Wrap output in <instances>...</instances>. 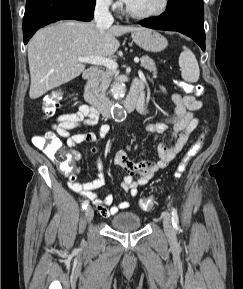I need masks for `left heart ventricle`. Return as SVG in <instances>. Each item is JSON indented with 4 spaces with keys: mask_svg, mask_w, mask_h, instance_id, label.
<instances>
[{
    "mask_svg": "<svg viewBox=\"0 0 243 289\" xmlns=\"http://www.w3.org/2000/svg\"><path fill=\"white\" fill-rule=\"evenodd\" d=\"M161 0H128L129 8L138 13H146L157 9Z\"/></svg>",
    "mask_w": 243,
    "mask_h": 289,
    "instance_id": "b2bd125f",
    "label": "left heart ventricle"
}]
</instances>
